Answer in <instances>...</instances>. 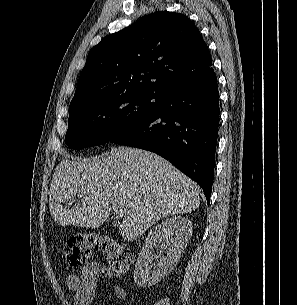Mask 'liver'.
<instances>
[{
  "instance_id": "1",
  "label": "liver",
  "mask_w": 297,
  "mask_h": 305,
  "mask_svg": "<svg viewBox=\"0 0 297 305\" xmlns=\"http://www.w3.org/2000/svg\"><path fill=\"white\" fill-rule=\"evenodd\" d=\"M82 196L72 208L65 206ZM199 189L170 162L148 151L118 147L104 157L62 160L53 174L50 213L61 225L98 228L123 205L120 234L133 240L158 220L198 208Z\"/></svg>"
}]
</instances>
